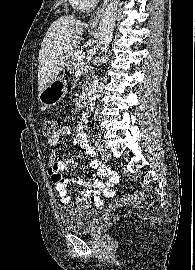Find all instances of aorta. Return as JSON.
<instances>
[{"label":"aorta","instance_id":"1","mask_svg":"<svg viewBox=\"0 0 195 270\" xmlns=\"http://www.w3.org/2000/svg\"><path fill=\"white\" fill-rule=\"evenodd\" d=\"M119 5V0H111L107 8L105 9L98 27L99 32V44L102 54L107 51L109 43L112 40L113 31L115 27V21L117 16V9ZM98 89V77H94L88 99V106L91 111L94 108L96 101V92Z\"/></svg>","mask_w":195,"mask_h":270}]
</instances>
